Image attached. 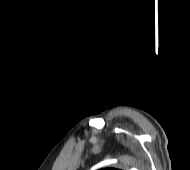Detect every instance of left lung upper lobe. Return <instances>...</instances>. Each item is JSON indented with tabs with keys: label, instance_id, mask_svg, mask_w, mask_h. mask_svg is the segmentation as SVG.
Returning <instances> with one entry per match:
<instances>
[{
	"label": "left lung upper lobe",
	"instance_id": "obj_1",
	"mask_svg": "<svg viewBox=\"0 0 190 170\" xmlns=\"http://www.w3.org/2000/svg\"><path fill=\"white\" fill-rule=\"evenodd\" d=\"M101 170H119V169H115V168H104V169H101Z\"/></svg>",
	"mask_w": 190,
	"mask_h": 170
}]
</instances>
